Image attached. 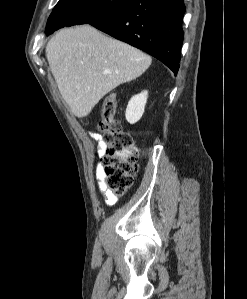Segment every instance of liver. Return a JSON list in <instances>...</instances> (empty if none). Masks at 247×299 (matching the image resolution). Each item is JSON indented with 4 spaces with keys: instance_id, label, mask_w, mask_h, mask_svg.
I'll use <instances>...</instances> for the list:
<instances>
[{
    "instance_id": "1",
    "label": "liver",
    "mask_w": 247,
    "mask_h": 299,
    "mask_svg": "<svg viewBox=\"0 0 247 299\" xmlns=\"http://www.w3.org/2000/svg\"><path fill=\"white\" fill-rule=\"evenodd\" d=\"M46 57L62 98L79 118L152 62L149 55L90 25L59 30L46 46Z\"/></svg>"
}]
</instances>
